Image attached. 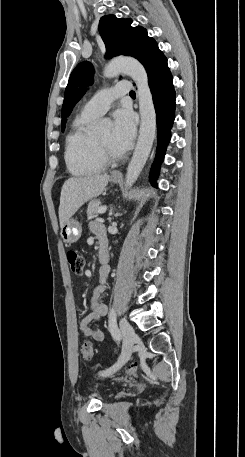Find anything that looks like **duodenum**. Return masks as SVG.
I'll list each match as a JSON object with an SVG mask.
<instances>
[{"instance_id":"duodenum-1","label":"duodenum","mask_w":245,"mask_h":457,"mask_svg":"<svg viewBox=\"0 0 245 457\" xmlns=\"http://www.w3.org/2000/svg\"><path fill=\"white\" fill-rule=\"evenodd\" d=\"M98 259L102 265H106L109 261V252L107 248L100 247L98 251Z\"/></svg>"}]
</instances>
